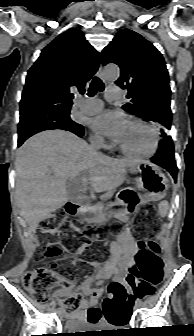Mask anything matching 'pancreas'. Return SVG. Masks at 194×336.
<instances>
[{"label":"pancreas","mask_w":194,"mask_h":336,"mask_svg":"<svg viewBox=\"0 0 194 336\" xmlns=\"http://www.w3.org/2000/svg\"><path fill=\"white\" fill-rule=\"evenodd\" d=\"M121 206L120 205H113V204H108L105 208L108 212H111L112 210H120Z\"/></svg>","instance_id":"cf45deb5"}]
</instances>
